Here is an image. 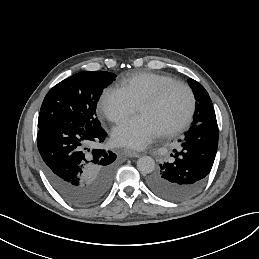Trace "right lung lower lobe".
Returning a JSON list of instances; mask_svg holds the SVG:
<instances>
[{
	"label": "right lung lower lobe",
	"instance_id": "1",
	"mask_svg": "<svg viewBox=\"0 0 259 259\" xmlns=\"http://www.w3.org/2000/svg\"><path fill=\"white\" fill-rule=\"evenodd\" d=\"M106 137L101 126L86 129L56 123L39 129L37 145L44 172L58 194L72 205H93L109 191L116 154L98 148Z\"/></svg>",
	"mask_w": 259,
	"mask_h": 259
}]
</instances>
